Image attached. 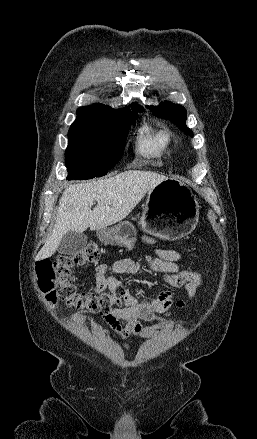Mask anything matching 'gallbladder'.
<instances>
[{
	"instance_id": "bac80fb5",
	"label": "gallbladder",
	"mask_w": 257,
	"mask_h": 439,
	"mask_svg": "<svg viewBox=\"0 0 257 439\" xmlns=\"http://www.w3.org/2000/svg\"><path fill=\"white\" fill-rule=\"evenodd\" d=\"M87 236L84 233L67 232L58 245L61 254L74 255L83 250L87 244Z\"/></svg>"
}]
</instances>
